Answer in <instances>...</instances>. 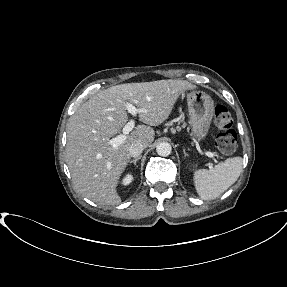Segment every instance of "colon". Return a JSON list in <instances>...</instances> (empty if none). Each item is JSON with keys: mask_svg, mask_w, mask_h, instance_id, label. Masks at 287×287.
<instances>
[{"mask_svg": "<svg viewBox=\"0 0 287 287\" xmlns=\"http://www.w3.org/2000/svg\"><path fill=\"white\" fill-rule=\"evenodd\" d=\"M233 119L225 106L218 105L214 111V125L221 130L217 135L215 143L218 150L224 155L235 152L237 147V134L231 129Z\"/></svg>", "mask_w": 287, "mask_h": 287, "instance_id": "obj_1", "label": "colon"}]
</instances>
